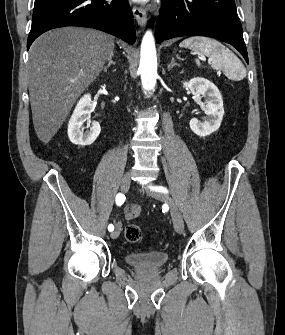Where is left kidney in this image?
I'll use <instances>...</instances> for the list:
<instances>
[{
  "label": "left kidney",
  "mask_w": 285,
  "mask_h": 335,
  "mask_svg": "<svg viewBox=\"0 0 285 335\" xmlns=\"http://www.w3.org/2000/svg\"><path fill=\"white\" fill-rule=\"evenodd\" d=\"M183 88H188L194 96L207 98L203 110L207 116L206 122L192 118L189 126L197 136H210L220 128L224 116L223 100L217 86L205 78H192L189 82H184Z\"/></svg>",
  "instance_id": "5707ae66"
}]
</instances>
